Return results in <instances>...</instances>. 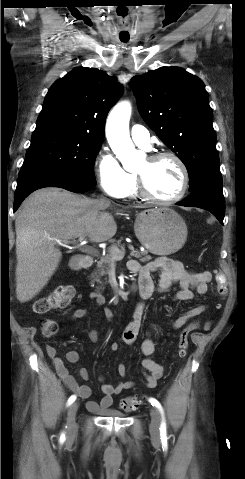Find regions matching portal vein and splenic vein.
Wrapping results in <instances>:
<instances>
[{"label":"portal vein and splenic vein","instance_id":"portal-vein-and-splenic-vein-1","mask_svg":"<svg viewBox=\"0 0 245 479\" xmlns=\"http://www.w3.org/2000/svg\"><path fill=\"white\" fill-rule=\"evenodd\" d=\"M84 237H80V240H83ZM58 244L63 245L62 242L59 240H56ZM128 249L131 251V254L135 252L134 246L128 245ZM111 255L112 258L115 260H121L125 256V247L121 246V248L118 247H112L111 248Z\"/></svg>","mask_w":245,"mask_h":479}]
</instances>
